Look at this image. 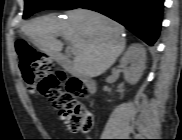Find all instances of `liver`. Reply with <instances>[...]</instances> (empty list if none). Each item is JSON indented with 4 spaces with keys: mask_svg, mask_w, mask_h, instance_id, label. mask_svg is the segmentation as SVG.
Returning <instances> with one entry per match:
<instances>
[{
    "mask_svg": "<svg viewBox=\"0 0 182 140\" xmlns=\"http://www.w3.org/2000/svg\"><path fill=\"white\" fill-rule=\"evenodd\" d=\"M21 31L51 56L59 53L62 36L76 47L74 70L86 77H97L109 69L125 48V28L108 17L87 9L67 12L60 20L54 14L38 17L24 24Z\"/></svg>",
    "mask_w": 182,
    "mask_h": 140,
    "instance_id": "obj_1",
    "label": "liver"
}]
</instances>
